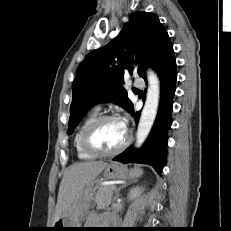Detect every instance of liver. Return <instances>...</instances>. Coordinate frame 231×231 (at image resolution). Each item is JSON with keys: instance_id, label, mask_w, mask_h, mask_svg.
Listing matches in <instances>:
<instances>
[{"instance_id": "obj_1", "label": "liver", "mask_w": 231, "mask_h": 231, "mask_svg": "<svg viewBox=\"0 0 231 231\" xmlns=\"http://www.w3.org/2000/svg\"><path fill=\"white\" fill-rule=\"evenodd\" d=\"M103 161L79 162L64 173L61 180L53 224L65 217L75 198L92 184V181L106 168Z\"/></svg>"}]
</instances>
